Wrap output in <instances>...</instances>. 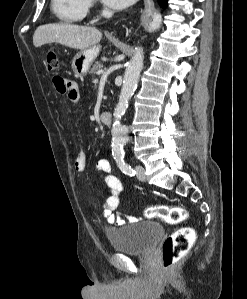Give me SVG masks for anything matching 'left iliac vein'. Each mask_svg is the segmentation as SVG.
<instances>
[{"label": "left iliac vein", "instance_id": "left-iliac-vein-1", "mask_svg": "<svg viewBox=\"0 0 247 299\" xmlns=\"http://www.w3.org/2000/svg\"><path fill=\"white\" fill-rule=\"evenodd\" d=\"M135 171H136V175H137L138 179L141 180V181H145L146 177H145L144 167L141 166V165H137L135 167Z\"/></svg>", "mask_w": 247, "mask_h": 299}]
</instances>
